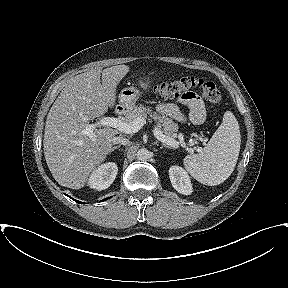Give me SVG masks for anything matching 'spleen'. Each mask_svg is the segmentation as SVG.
Masks as SVG:
<instances>
[{
	"instance_id": "obj_1",
	"label": "spleen",
	"mask_w": 288,
	"mask_h": 288,
	"mask_svg": "<svg viewBox=\"0 0 288 288\" xmlns=\"http://www.w3.org/2000/svg\"><path fill=\"white\" fill-rule=\"evenodd\" d=\"M239 124L227 111L207 145L198 154L187 155L184 167L197 181L214 186L223 183L233 172L240 151Z\"/></svg>"
}]
</instances>
